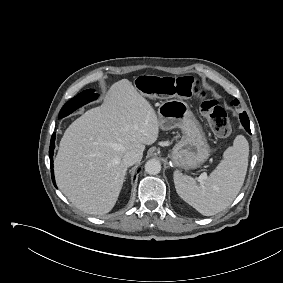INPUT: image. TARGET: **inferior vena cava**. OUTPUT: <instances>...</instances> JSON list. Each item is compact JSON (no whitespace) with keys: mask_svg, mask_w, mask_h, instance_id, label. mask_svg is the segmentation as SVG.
Returning a JSON list of instances; mask_svg holds the SVG:
<instances>
[{"mask_svg":"<svg viewBox=\"0 0 283 283\" xmlns=\"http://www.w3.org/2000/svg\"><path fill=\"white\" fill-rule=\"evenodd\" d=\"M138 159H139L138 154L133 151H130V152L125 153L122 161L126 167H129V166L134 165L138 161Z\"/></svg>","mask_w":283,"mask_h":283,"instance_id":"1","label":"inferior vena cava"}]
</instances>
